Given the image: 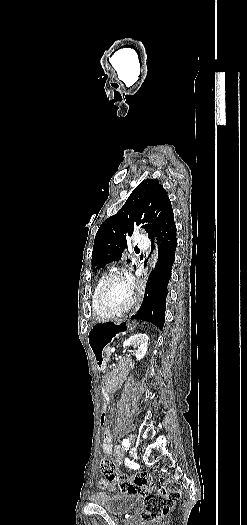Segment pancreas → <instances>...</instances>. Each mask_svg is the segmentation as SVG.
Masks as SVG:
<instances>
[{
  "label": "pancreas",
  "instance_id": "obj_1",
  "mask_svg": "<svg viewBox=\"0 0 247 525\" xmlns=\"http://www.w3.org/2000/svg\"><path fill=\"white\" fill-rule=\"evenodd\" d=\"M103 353H104V355L102 356V359H103L104 361L111 360L110 349L105 348V349L103 350Z\"/></svg>",
  "mask_w": 247,
  "mask_h": 525
}]
</instances>
